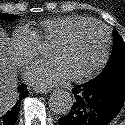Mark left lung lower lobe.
<instances>
[{"mask_svg":"<svg viewBox=\"0 0 125 125\" xmlns=\"http://www.w3.org/2000/svg\"><path fill=\"white\" fill-rule=\"evenodd\" d=\"M75 100L59 125H108L120 112L125 99V72L88 81L72 90Z\"/></svg>","mask_w":125,"mask_h":125,"instance_id":"obj_1","label":"left lung lower lobe"}]
</instances>
